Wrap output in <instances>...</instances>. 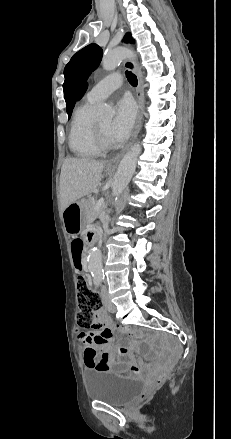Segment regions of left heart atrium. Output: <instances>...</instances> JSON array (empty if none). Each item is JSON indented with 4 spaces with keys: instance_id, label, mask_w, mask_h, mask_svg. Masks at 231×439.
<instances>
[{
    "instance_id": "obj_1",
    "label": "left heart atrium",
    "mask_w": 231,
    "mask_h": 439,
    "mask_svg": "<svg viewBox=\"0 0 231 439\" xmlns=\"http://www.w3.org/2000/svg\"><path fill=\"white\" fill-rule=\"evenodd\" d=\"M135 108L128 98H122L116 105V113L111 122L109 137L113 144L125 141L134 125Z\"/></svg>"
}]
</instances>
